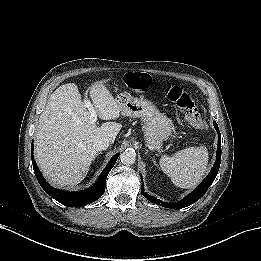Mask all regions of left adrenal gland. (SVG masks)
Instances as JSON below:
<instances>
[{"mask_svg": "<svg viewBox=\"0 0 261 261\" xmlns=\"http://www.w3.org/2000/svg\"><path fill=\"white\" fill-rule=\"evenodd\" d=\"M153 163H154L155 166L158 167V164L156 163V161L154 159H153Z\"/></svg>", "mask_w": 261, "mask_h": 261, "instance_id": "left-adrenal-gland-1", "label": "left adrenal gland"}]
</instances>
